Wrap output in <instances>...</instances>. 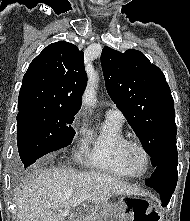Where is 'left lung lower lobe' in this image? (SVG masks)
<instances>
[{
  "label": "left lung lower lobe",
  "instance_id": "obj_1",
  "mask_svg": "<svg viewBox=\"0 0 190 221\" xmlns=\"http://www.w3.org/2000/svg\"><path fill=\"white\" fill-rule=\"evenodd\" d=\"M177 151L168 154L154 168L152 176L145 184L155 189L161 196L162 206L165 207L177 184Z\"/></svg>",
  "mask_w": 190,
  "mask_h": 221
}]
</instances>
